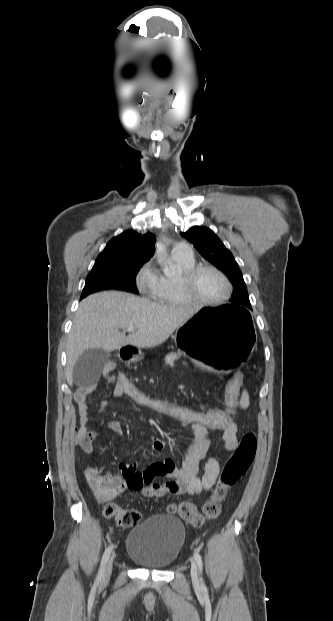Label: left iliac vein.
<instances>
[{
    "instance_id": "left-iliac-vein-1",
    "label": "left iliac vein",
    "mask_w": 333,
    "mask_h": 621,
    "mask_svg": "<svg viewBox=\"0 0 333 621\" xmlns=\"http://www.w3.org/2000/svg\"><path fill=\"white\" fill-rule=\"evenodd\" d=\"M191 578L194 585L199 584L198 569L194 561H191Z\"/></svg>"
}]
</instances>
